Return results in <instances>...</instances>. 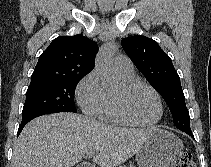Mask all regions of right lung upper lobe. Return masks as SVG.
Returning <instances> with one entry per match:
<instances>
[{
	"label": "right lung upper lobe",
	"instance_id": "obj_1",
	"mask_svg": "<svg viewBox=\"0 0 211 167\" xmlns=\"http://www.w3.org/2000/svg\"><path fill=\"white\" fill-rule=\"evenodd\" d=\"M98 46L81 34L54 39L40 55L31 82L84 77L94 68Z\"/></svg>",
	"mask_w": 211,
	"mask_h": 167
}]
</instances>
